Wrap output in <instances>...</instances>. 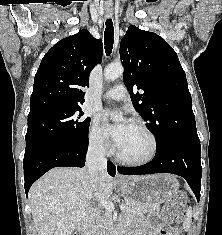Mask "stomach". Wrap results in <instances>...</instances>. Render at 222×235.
Returning a JSON list of instances; mask_svg holds the SVG:
<instances>
[{
	"label": "stomach",
	"mask_w": 222,
	"mask_h": 235,
	"mask_svg": "<svg viewBox=\"0 0 222 235\" xmlns=\"http://www.w3.org/2000/svg\"><path fill=\"white\" fill-rule=\"evenodd\" d=\"M127 202L146 208L160 204L171 197L179 188L178 181L170 175L144 176L120 183Z\"/></svg>",
	"instance_id": "0dacf381"
}]
</instances>
